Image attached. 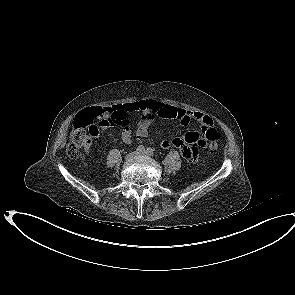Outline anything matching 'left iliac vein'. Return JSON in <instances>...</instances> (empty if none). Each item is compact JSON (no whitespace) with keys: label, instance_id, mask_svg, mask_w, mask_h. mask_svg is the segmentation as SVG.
Returning a JSON list of instances; mask_svg holds the SVG:
<instances>
[{"label":"left iliac vein","instance_id":"4c4485c4","mask_svg":"<svg viewBox=\"0 0 295 295\" xmlns=\"http://www.w3.org/2000/svg\"><path fill=\"white\" fill-rule=\"evenodd\" d=\"M138 156H148V154L146 152H140L138 153Z\"/></svg>","mask_w":295,"mask_h":295}]
</instances>
